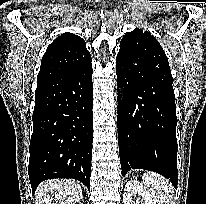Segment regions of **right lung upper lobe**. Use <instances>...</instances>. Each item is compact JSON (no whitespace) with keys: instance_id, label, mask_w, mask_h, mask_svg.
Returning a JSON list of instances; mask_svg holds the SVG:
<instances>
[{"instance_id":"right-lung-upper-lobe-1","label":"right lung upper lobe","mask_w":206,"mask_h":204,"mask_svg":"<svg viewBox=\"0 0 206 204\" xmlns=\"http://www.w3.org/2000/svg\"><path fill=\"white\" fill-rule=\"evenodd\" d=\"M89 60L91 55L86 49L85 41L72 33H64L48 46L42 58L37 81L73 71Z\"/></svg>"}]
</instances>
